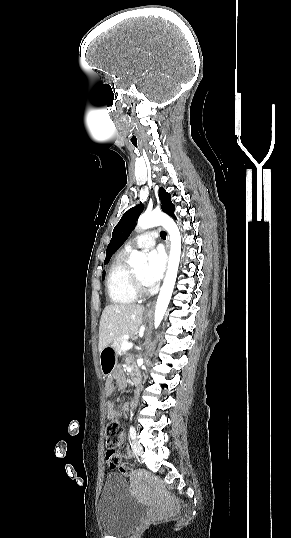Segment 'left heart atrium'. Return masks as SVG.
Masks as SVG:
<instances>
[{
    "label": "left heart atrium",
    "mask_w": 291,
    "mask_h": 538,
    "mask_svg": "<svg viewBox=\"0 0 291 538\" xmlns=\"http://www.w3.org/2000/svg\"><path fill=\"white\" fill-rule=\"evenodd\" d=\"M165 264L166 258L161 250L155 249L148 254V263L143 275L146 286H154L162 278Z\"/></svg>",
    "instance_id": "39dd6f15"
}]
</instances>
